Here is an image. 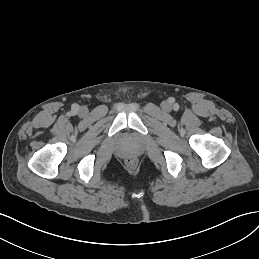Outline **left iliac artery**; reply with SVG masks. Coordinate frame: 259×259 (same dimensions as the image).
<instances>
[{"label": "left iliac artery", "mask_w": 259, "mask_h": 259, "mask_svg": "<svg viewBox=\"0 0 259 259\" xmlns=\"http://www.w3.org/2000/svg\"><path fill=\"white\" fill-rule=\"evenodd\" d=\"M176 110L178 109V105H175V107H174Z\"/></svg>", "instance_id": "obj_1"}]
</instances>
